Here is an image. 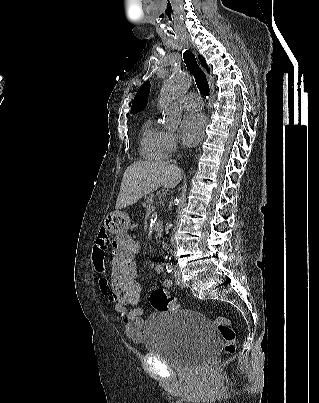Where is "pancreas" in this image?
Returning <instances> with one entry per match:
<instances>
[{"mask_svg": "<svg viewBox=\"0 0 319 403\" xmlns=\"http://www.w3.org/2000/svg\"><path fill=\"white\" fill-rule=\"evenodd\" d=\"M156 196L154 194H149L144 196L143 206L146 208H150L153 206V201L155 200Z\"/></svg>", "mask_w": 319, "mask_h": 403, "instance_id": "pancreas-1", "label": "pancreas"}]
</instances>
